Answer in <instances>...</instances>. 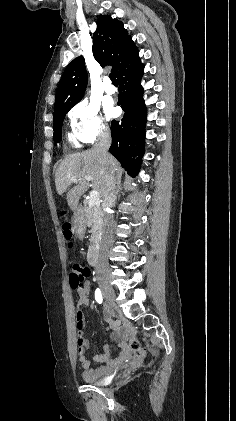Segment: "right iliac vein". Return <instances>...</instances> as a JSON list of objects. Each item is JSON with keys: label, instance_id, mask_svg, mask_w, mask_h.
<instances>
[{"label": "right iliac vein", "instance_id": "right-iliac-vein-1", "mask_svg": "<svg viewBox=\"0 0 236 421\" xmlns=\"http://www.w3.org/2000/svg\"><path fill=\"white\" fill-rule=\"evenodd\" d=\"M99 285L103 296L110 302H115L116 295L113 289L108 287V281L106 279H100Z\"/></svg>", "mask_w": 236, "mask_h": 421}]
</instances>
